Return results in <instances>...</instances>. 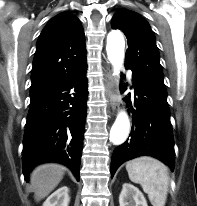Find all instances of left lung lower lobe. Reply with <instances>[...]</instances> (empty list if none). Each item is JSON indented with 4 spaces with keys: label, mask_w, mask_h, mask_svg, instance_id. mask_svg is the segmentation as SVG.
Listing matches in <instances>:
<instances>
[{
    "label": "left lung lower lobe",
    "mask_w": 197,
    "mask_h": 206,
    "mask_svg": "<svg viewBox=\"0 0 197 206\" xmlns=\"http://www.w3.org/2000/svg\"><path fill=\"white\" fill-rule=\"evenodd\" d=\"M134 105L129 138L112 155L111 178L117 168L132 158L149 155L174 169V139L167 95L133 74ZM130 112V110H129Z\"/></svg>",
    "instance_id": "0a47b994"
}]
</instances>
